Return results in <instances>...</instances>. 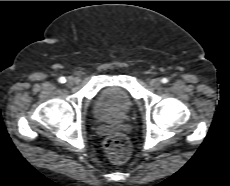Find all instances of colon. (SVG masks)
I'll use <instances>...</instances> for the list:
<instances>
[{
  "label": "colon",
  "mask_w": 230,
  "mask_h": 186,
  "mask_svg": "<svg viewBox=\"0 0 230 186\" xmlns=\"http://www.w3.org/2000/svg\"><path fill=\"white\" fill-rule=\"evenodd\" d=\"M104 148L109 159L116 164L126 162L131 154L130 142L123 134L108 136L104 141Z\"/></svg>",
  "instance_id": "colon-1"
}]
</instances>
